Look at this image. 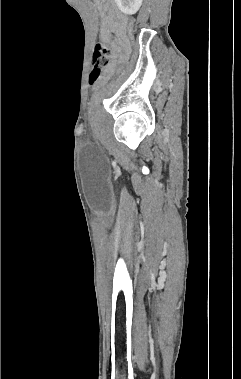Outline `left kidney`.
Instances as JSON below:
<instances>
[{
  "label": "left kidney",
  "mask_w": 241,
  "mask_h": 379,
  "mask_svg": "<svg viewBox=\"0 0 241 379\" xmlns=\"http://www.w3.org/2000/svg\"><path fill=\"white\" fill-rule=\"evenodd\" d=\"M118 8L121 10V12L127 14V15H133L135 14L143 0H115Z\"/></svg>",
  "instance_id": "left-kidney-1"
}]
</instances>
